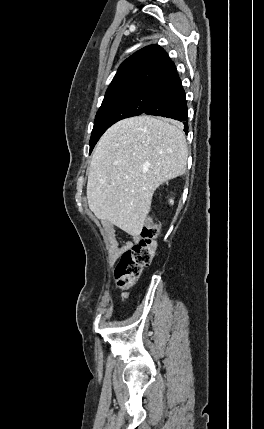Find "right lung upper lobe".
I'll return each mask as SVG.
<instances>
[{
    "mask_svg": "<svg viewBox=\"0 0 264 429\" xmlns=\"http://www.w3.org/2000/svg\"><path fill=\"white\" fill-rule=\"evenodd\" d=\"M175 64L164 49L150 45L135 52L119 67L106 92L149 85L161 87L176 74Z\"/></svg>",
    "mask_w": 264,
    "mask_h": 429,
    "instance_id": "obj_1",
    "label": "right lung upper lobe"
}]
</instances>
